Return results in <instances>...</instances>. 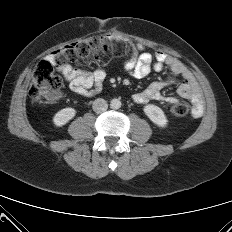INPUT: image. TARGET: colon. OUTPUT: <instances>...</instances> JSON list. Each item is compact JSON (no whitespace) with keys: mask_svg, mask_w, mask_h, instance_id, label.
I'll use <instances>...</instances> for the list:
<instances>
[{"mask_svg":"<svg viewBox=\"0 0 232 232\" xmlns=\"http://www.w3.org/2000/svg\"><path fill=\"white\" fill-rule=\"evenodd\" d=\"M114 49L115 44L112 40L104 37H91L54 51L50 59L39 62L35 67L29 87L31 101L40 103L59 94L62 81L54 73L55 66L98 62ZM170 112L175 117H184L189 114V107L177 102L170 106Z\"/></svg>","mask_w":232,"mask_h":232,"instance_id":"1","label":"colon"}]
</instances>
